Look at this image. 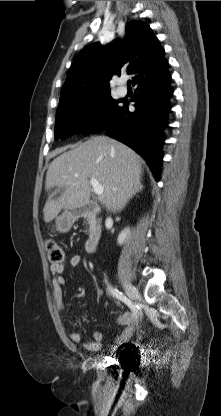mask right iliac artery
I'll return each mask as SVG.
<instances>
[{
	"label": "right iliac artery",
	"mask_w": 221,
	"mask_h": 416,
	"mask_svg": "<svg viewBox=\"0 0 221 416\" xmlns=\"http://www.w3.org/2000/svg\"><path fill=\"white\" fill-rule=\"evenodd\" d=\"M108 289L113 297L125 303L132 310L133 314L137 317L136 308L134 307V305H132L131 301L122 292L118 291L116 288H113L112 286H109Z\"/></svg>",
	"instance_id": "82829eb1"
}]
</instances>
